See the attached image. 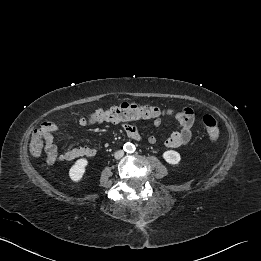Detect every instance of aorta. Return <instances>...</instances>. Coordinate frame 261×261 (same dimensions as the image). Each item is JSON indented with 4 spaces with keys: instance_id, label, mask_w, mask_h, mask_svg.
<instances>
[{
    "instance_id": "aorta-1",
    "label": "aorta",
    "mask_w": 261,
    "mask_h": 261,
    "mask_svg": "<svg viewBox=\"0 0 261 261\" xmlns=\"http://www.w3.org/2000/svg\"><path fill=\"white\" fill-rule=\"evenodd\" d=\"M124 150L127 152V153H133L135 151V145L128 142L124 145Z\"/></svg>"
}]
</instances>
